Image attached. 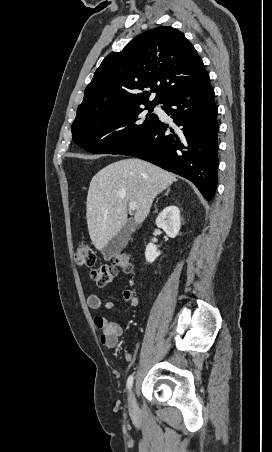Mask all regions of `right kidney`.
I'll use <instances>...</instances> for the list:
<instances>
[{
    "label": "right kidney",
    "instance_id": "right-kidney-1",
    "mask_svg": "<svg viewBox=\"0 0 272 452\" xmlns=\"http://www.w3.org/2000/svg\"><path fill=\"white\" fill-rule=\"evenodd\" d=\"M157 227L164 230L170 238H175L181 227L180 210L174 205L165 207L158 215L156 219ZM160 255L156 245L150 242L146 246L145 259L147 262L152 263Z\"/></svg>",
    "mask_w": 272,
    "mask_h": 452
}]
</instances>
